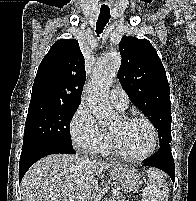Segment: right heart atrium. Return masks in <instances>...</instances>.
I'll list each match as a JSON object with an SVG mask.
<instances>
[{
  "label": "right heart atrium",
  "instance_id": "1",
  "mask_svg": "<svg viewBox=\"0 0 196 201\" xmlns=\"http://www.w3.org/2000/svg\"><path fill=\"white\" fill-rule=\"evenodd\" d=\"M70 135L77 148L92 153L103 152L110 143L108 133L83 105L78 107L70 121Z\"/></svg>",
  "mask_w": 196,
  "mask_h": 201
}]
</instances>
